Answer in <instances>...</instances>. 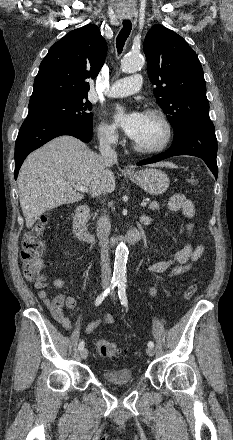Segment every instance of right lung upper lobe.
Returning a JSON list of instances; mask_svg holds the SVG:
<instances>
[{"instance_id": "cb5924a9", "label": "right lung upper lobe", "mask_w": 233, "mask_h": 440, "mask_svg": "<svg viewBox=\"0 0 233 440\" xmlns=\"http://www.w3.org/2000/svg\"><path fill=\"white\" fill-rule=\"evenodd\" d=\"M107 45L96 25L73 30L56 42L40 64L30 103L87 97L88 78L104 64Z\"/></svg>"}]
</instances>
